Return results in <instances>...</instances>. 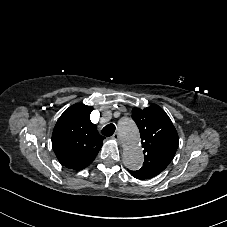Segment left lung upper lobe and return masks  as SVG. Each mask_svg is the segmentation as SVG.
<instances>
[{"mask_svg":"<svg viewBox=\"0 0 227 227\" xmlns=\"http://www.w3.org/2000/svg\"><path fill=\"white\" fill-rule=\"evenodd\" d=\"M132 118L140 131L145 160L139 170L128 171L138 179L152 178L173 159L179 144L178 134L168 115L157 105L143 110L133 108Z\"/></svg>","mask_w":227,"mask_h":227,"instance_id":"1","label":"left lung upper lobe"}]
</instances>
